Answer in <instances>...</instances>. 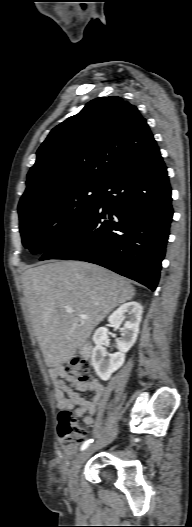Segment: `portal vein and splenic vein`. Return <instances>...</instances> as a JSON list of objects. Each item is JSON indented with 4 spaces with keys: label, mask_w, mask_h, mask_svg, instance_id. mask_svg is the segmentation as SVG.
Listing matches in <instances>:
<instances>
[{
    "label": "portal vein and splenic vein",
    "mask_w": 192,
    "mask_h": 527,
    "mask_svg": "<svg viewBox=\"0 0 192 527\" xmlns=\"http://www.w3.org/2000/svg\"><path fill=\"white\" fill-rule=\"evenodd\" d=\"M66 312H67V313H72L73 310H72V308H70V307H66ZM80 318H81V319H87L88 316H87V315H84V314H81V315H80Z\"/></svg>",
    "instance_id": "18ae733b"
}]
</instances>
